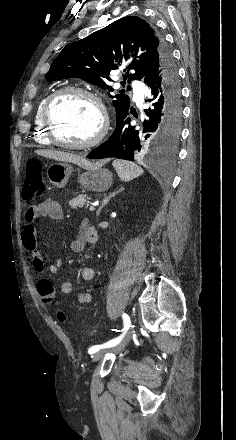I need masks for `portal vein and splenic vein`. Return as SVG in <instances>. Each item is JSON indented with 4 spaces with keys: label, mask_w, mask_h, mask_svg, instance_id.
<instances>
[{
    "label": "portal vein and splenic vein",
    "mask_w": 236,
    "mask_h": 440,
    "mask_svg": "<svg viewBox=\"0 0 236 440\" xmlns=\"http://www.w3.org/2000/svg\"><path fill=\"white\" fill-rule=\"evenodd\" d=\"M95 206H96L95 204L91 205L90 208H89V210H90V211H93V210L95 209Z\"/></svg>",
    "instance_id": "obj_1"
}]
</instances>
